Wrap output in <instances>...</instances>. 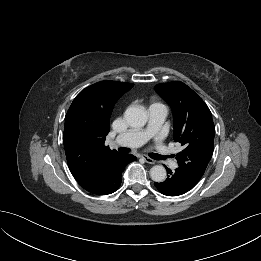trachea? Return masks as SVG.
Instances as JSON below:
<instances>
[{"label": "trachea", "mask_w": 261, "mask_h": 261, "mask_svg": "<svg viewBox=\"0 0 261 261\" xmlns=\"http://www.w3.org/2000/svg\"><path fill=\"white\" fill-rule=\"evenodd\" d=\"M118 151H119L120 153H123V154H127V153L130 152V150H129L128 148H119ZM158 158H159V159H163L162 156H159Z\"/></svg>", "instance_id": "3493384b"}]
</instances>
